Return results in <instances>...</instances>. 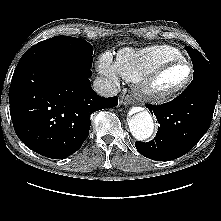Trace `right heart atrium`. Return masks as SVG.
I'll list each match as a JSON object with an SVG mask.
<instances>
[{
  "instance_id": "obj_1",
  "label": "right heart atrium",
  "mask_w": 221,
  "mask_h": 221,
  "mask_svg": "<svg viewBox=\"0 0 221 221\" xmlns=\"http://www.w3.org/2000/svg\"><path fill=\"white\" fill-rule=\"evenodd\" d=\"M97 68H98V72L102 76L114 82L118 80V72L116 70L115 63L113 62L110 54L105 53L100 56L98 60Z\"/></svg>"
}]
</instances>
